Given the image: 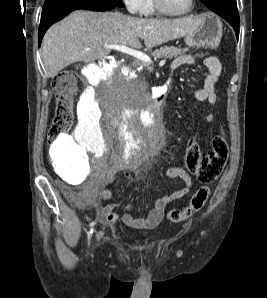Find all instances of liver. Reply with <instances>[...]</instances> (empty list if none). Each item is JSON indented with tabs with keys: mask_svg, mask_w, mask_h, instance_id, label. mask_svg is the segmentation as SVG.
Listing matches in <instances>:
<instances>
[{
	"mask_svg": "<svg viewBox=\"0 0 267 298\" xmlns=\"http://www.w3.org/2000/svg\"><path fill=\"white\" fill-rule=\"evenodd\" d=\"M202 20L136 18L119 12L77 10L52 25L42 42V56L47 75L55 77L76 62H92L106 57L105 45L141 48L139 39L152 48L195 32Z\"/></svg>",
	"mask_w": 267,
	"mask_h": 298,
	"instance_id": "liver-1",
	"label": "liver"
}]
</instances>
